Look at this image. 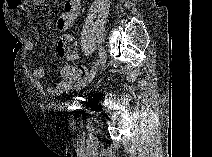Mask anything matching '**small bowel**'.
<instances>
[{"label": "small bowel", "instance_id": "obj_1", "mask_svg": "<svg viewBox=\"0 0 212 157\" xmlns=\"http://www.w3.org/2000/svg\"><path fill=\"white\" fill-rule=\"evenodd\" d=\"M7 5L12 10L28 9L29 4L22 0H7ZM81 4L78 0H67L64 3L63 11L57 20V28L60 31H66L70 29L79 14ZM29 50H33L35 43L29 41L27 44ZM46 75V68L44 66H37L32 70V77L35 79H42ZM79 77L76 74V67L65 65L60 70L59 82L49 91L52 94H60L68 91L71 84Z\"/></svg>", "mask_w": 212, "mask_h": 157}]
</instances>
